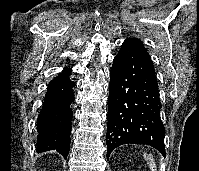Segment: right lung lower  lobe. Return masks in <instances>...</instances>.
Returning <instances> with one entry per match:
<instances>
[{"label": "right lung lower lobe", "instance_id": "1", "mask_svg": "<svg viewBox=\"0 0 199 171\" xmlns=\"http://www.w3.org/2000/svg\"><path fill=\"white\" fill-rule=\"evenodd\" d=\"M70 68H64L48 84L42 111L37 118V151L56 150L66 159L69 152L71 102L74 101Z\"/></svg>", "mask_w": 199, "mask_h": 171}]
</instances>
